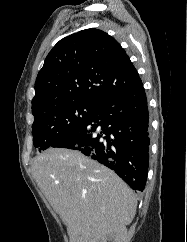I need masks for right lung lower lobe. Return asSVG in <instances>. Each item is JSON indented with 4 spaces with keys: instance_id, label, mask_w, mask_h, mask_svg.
<instances>
[{
    "instance_id": "98d812e1",
    "label": "right lung lower lobe",
    "mask_w": 187,
    "mask_h": 242,
    "mask_svg": "<svg viewBox=\"0 0 187 242\" xmlns=\"http://www.w3.org/2000/svg\"><path fill=\"white\" fill-rule=\"evenodd\" d=\"M149 114L143 85L102 102L93 115L51 147L78 150L143 191L149 164Z\"/></svg>"
}]
</instances>
